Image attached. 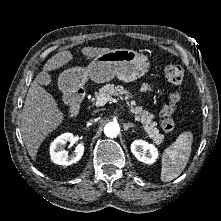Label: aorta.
I'll return each instance as SVG.
<instances>
[{
	"label": "aorta",
	"instance_id": "aorta-1",
	"mask_svg": "<svg viewBox=\"0 0 221 221\" xmlns=\"http://www.w3.org/2000/svg\"><path fill=\"white\" fill-rule=\"evenodd\" d=\"M120 132L119 124L116 122H109L104 127V133L109 138L116 137Z\"/></svg>",
	"mask_w": 221,
	"mask_h": 221
}]
</instances>
